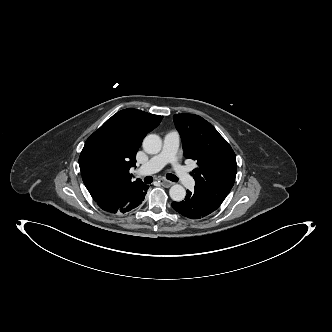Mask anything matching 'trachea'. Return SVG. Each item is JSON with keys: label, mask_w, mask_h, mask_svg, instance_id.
Returning <instances> with one entry per match:
<instances>
[{"label": "trachea", "mask_w": 332, "mask_h": 332, "mask_svg": "<svg viewBox=\"0 0 332 332\" xmlns=\"http://www.w3.org/2000/svg\"><path fill=\"white\" fill-rule=\"evenodd\" d=\"M166 177H167L168 180H171L173 182H177L178 181V178L175 175H173V174H167ZM152 181H153V177L152 176H146L144 178V182L146 184H150V183H152Z\"/></svg>", "instance_id": "3493384b"}]
</instances>
